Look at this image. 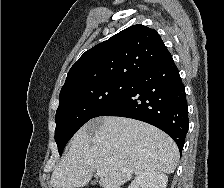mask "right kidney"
I'll list each match as a JSON object with an SVG mask.
<instances>
[{
	"label": "right kidney",
	"instance_id": "right-kidney-1",
	"mask_svg": "<svg viewBox=\"0 0 224 188\" xmlns=\"http://www.w3.org/2000/svg\"><path fill=\"white\" fill-rule=\"evenodd\" d=\"M167 182L166 174L153 171L138 175L128 188H166Z\"/></svg>",
	"mask_w": 224,
	"mask_h": 188
}]
</instances>
